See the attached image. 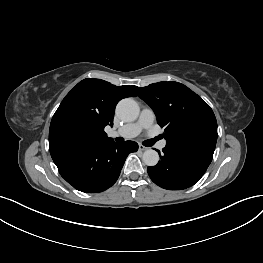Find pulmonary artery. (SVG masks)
Wrapping results in <instances>:
<instances>
[{
  "label": "pulmonary artery",
  "instance_id": "obj_1",
  "mask_svg": "<svg viewBox=\"0 0 263 263\" xmlns=\"http://www.w3.org/2000/svg\"><path fill=\"white\" fill-rule=\"evenodd\" d=\"M155 120L154 112L149 108H144L139 116V119L134 122L127 124L118 130H112L109 132L110 137L121 136L124 138H133L140 134L142 130L149 129L152 127ZM166 146V141L163 140L159 143V148L163 149Z\"/></svg>",
  "mask_w": 263,
  "mask_h": 263
}]
</instances>
